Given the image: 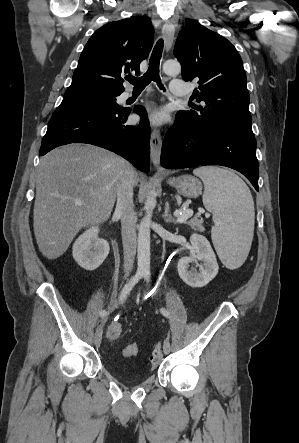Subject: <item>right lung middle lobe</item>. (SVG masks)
I'll return each mask as SVG.
<instances>
[{
    "mask_svg": "<svg viewBox=\"0 0 299 443\" xmlns=\"http://www.w3.org/2000/svg\"><path fill=\"white\" fill-rule=\"evenodd\" d=\"M119 95V93L95 88L69 87L64 94L61 104L90 106L103 110H117L120 108L116 103V97Z\"/></svg>",
    "mask_w": 299,
    "mask_h": 443,
    "instance_id": "1",
    "label": "right lung middle lobe"
}]
</instances>
